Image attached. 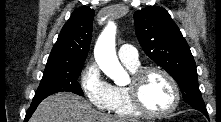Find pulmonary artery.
Wrapping results in <instances>:
<instances>
[{"mask_svg":"<svg viewBox=\"0 0 221 122\" xmlns=\"http://www.w3.org/2000/svg\"><path fill=\"white\" fill-rule=\"evenodd\" d=\"M118 56L120 60L125 64H129L132 66H136L139 64L137 49L130 44L122 45L119 48Z\"/></svg>","mask_w":221,"mask_h":122,"instance_id":"obj_1","label":"pulmonary artery"}]
</instances>
